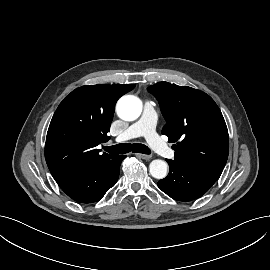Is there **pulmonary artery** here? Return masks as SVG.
Segmentation results:
<instances>
[{
  "instance_id": "obj_1",
  "label": "pulmonary artery",
  "mask_w": 270,
  "mask_h": 270,
  "mask_svg": "<svg viewBox=\"0 0 270 270\" xmlns=\"http://www.w3.org/2000/svg\"><path fill=\"white\" fill-rule=\"evenodd\" d=\"M156 122L157 115L154 103L150 100H145L144 111L141 118L129 126L124 132L120 133L116 140L122 142L139 136H144L154 151L162 157L171 158L173 157L174 152L157 134Z\"/></svg>"
}]
</instances>
